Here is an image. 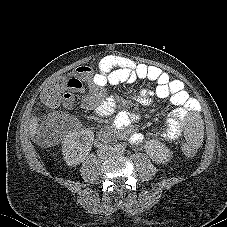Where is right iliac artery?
Here are the masks:
<instances>
[{
	"mask_svg": "<svg viewBox=\"0 0 227 227\" xmlns=\"http://www.w3.org/2000/svg\"><path fill=\"white\" fill-rule=\"evenodd\" d=\"M114 150H117V147H114Z\"/></svg>",
	"mask_w": 227,
	"mask_h": 227,
	"instance_id": "82829eb1",
	"label": "right iliac artery"
}]
</instances>
